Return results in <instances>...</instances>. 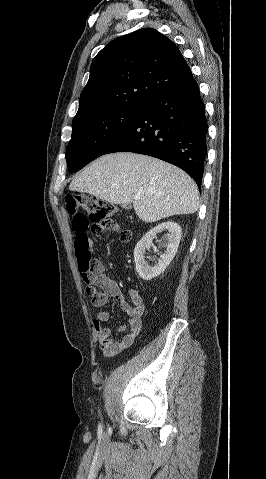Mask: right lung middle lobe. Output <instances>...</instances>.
Wrapping results in <instances>:
<instances>
[{
    "label": "right lung middle lobe",
    "instance_id": "right-lung-middle-lobe-1",
    "mask_svg": "<svg viewBox=\"0 0 266 479\" xmlns=\"http://www.w3.org/2000/svg\"><path fill=\"white\" fill-rule=\"evenodd\" d=\"M144 108H120L78 118L66 148L67 166L74 173L104 154Z\"/></svg>",
    "mask_w": 266,
    "mask_h": 479
}]
</instances>
